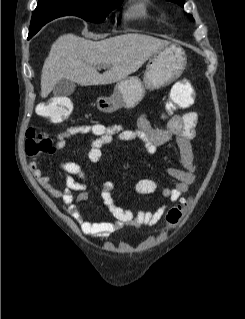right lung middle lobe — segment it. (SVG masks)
Instances as JSON below:
<instances>
[{"label":"right lung middle lobe","instance_id":"right-lung-middle-lobe-1","mask_svg":"<svg viewBox=\"0 0 245 319\" xmlns=\"http://www.w3.org/2000/svg\"><path fill=\"white\" fill-rule=\"evenodd\" d=\"M123 0H68L58 1L54 4L59 7L60 16L74 15L84 20L100 23L104 21L109 12L120 5ZM31 24H37L32 19Z\"/></svg>","mask_w":245,"mask_h":319}]
</instances>
